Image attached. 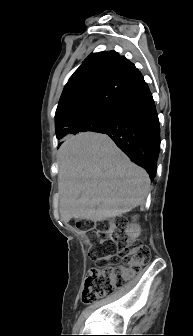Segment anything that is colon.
Wrapping results in <instances>:
<instances>
[{"instance_id":"5ec220e1","label":"colon","mask_w":193,"mask_h":336,"mask_svg":"<svg viewBox=\"0 0 193 336\" xmlns=\"http://www.w3.org/2000/svg\"><path fill=\"white\" fill-rule=\"evenodd\" d=\"M79 228L90 234L98 244L97 258L117 256L122 265L92 268L88 271L81 293V302L90 304L118 288L124 287L129 279L137 274L149 261L151 253L148 246L126 236V222L116 218L110 222L94 224L79 222Z\"/></svg>"}]
</instances>
